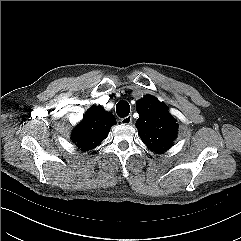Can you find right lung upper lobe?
<instances>
[{
  "label": "right lung upper lobe",
  "mask_w": 241,
  "mask_h": 241,
  "mask_svg": "<svg viewBox=\"0 0 241 241\" xmlns=\"http://www.w3.org/2000/svg\"><path fill=\"white\" fill-rule=\"evenodd\" d=\"M113 124L115 118L112 114L100 106H93L73 130L71 139L81 150H92L105 139Z\"/></svg>",
  "instance_id": "obj_1"
}]
</instances>
